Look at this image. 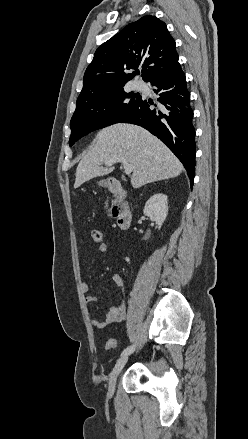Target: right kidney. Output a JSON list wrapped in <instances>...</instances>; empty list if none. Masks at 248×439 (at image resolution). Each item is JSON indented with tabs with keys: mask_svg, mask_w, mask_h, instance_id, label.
I'll return each mask as SVG.
<instances>
[{
	"mask_svg": "<svg viewBox=\"0 0 248 439\" xmlns=\"http://www.w3.org/2000/svg\"><path fill=\"white\" fill-rule=\"evenodd\" d=\"M144 215L158 224L160 229L168 214V198L163 193L151 196L144 207Z\"/></svg>",
	"mask_w": 248,
	"mask_h": 439,
	"instance_id": "1",
	"label": "right kidney"
}]
</instances>
